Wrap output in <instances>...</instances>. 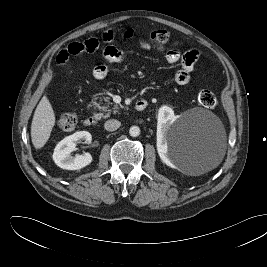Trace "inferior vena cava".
<instances>
[{
    "instance_id": "inferior-vena-cava-1",
    "label": "inferior vena cava",
    "mask_w": 267,
    "mask_h": 267,
    "mask_svg": "<svg viewBox=\"0 0 267 267\" xmlns=\"http://www.w3.org/2000/svg\"><path fill=\"white\" fill-rule=\"evenodd\" d=\"M121 126V122L116 119H110L105 122V129L107 131H115Z\"/></svg>"
}]
</instances>
